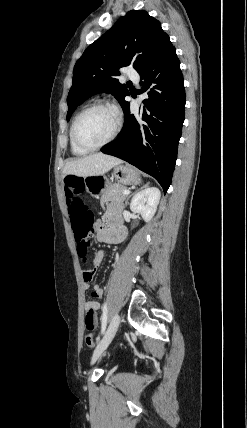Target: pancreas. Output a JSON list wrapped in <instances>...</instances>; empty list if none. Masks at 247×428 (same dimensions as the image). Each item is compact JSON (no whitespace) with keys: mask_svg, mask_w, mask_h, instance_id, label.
Segmentation results:
<instances>
[{"mask_svg":"<svg viewBox=\"0 0 247 428\" xmlns=\"http://www.w3.org/2000/svg\"><path fill=\"white\" fill-rule=\"evenodd\" d=\"M126 190V187L120 184H110L103 192L101 196V205L109 201L113 203H121L125 200L126 195L123 194V191Z\"/></svg>","mask_w":247,"mask_h":428,"instance_id":"1","label":"pancreas"}]
</instances>
